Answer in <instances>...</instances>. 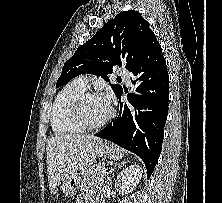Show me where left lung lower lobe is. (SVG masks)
<instances>
[{
    "label": "left lung lower lobe",
    "mask_w": 222,
    "mask_h": 203,
    "mask_svg": "<svg viewBox=\"0 0 222 203\" xmlns=\"http://www.w3.org/2000/svg\"><path fill=\"white\" fill-rule=\"evenodd\" d=\"M135 76V93L128 95V103L120 102L115 121L95 136L110 140L137 154L145 163L150 177L158 161L168 114L169 77L161 46L151 32L139 61L130 70Z\"/></svg>",
    "instance_id": "1"
}]
</instances>
